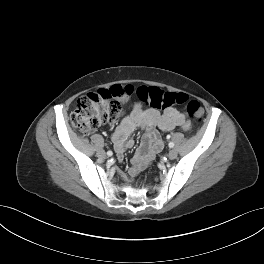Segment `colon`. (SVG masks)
Returning a JSON list of instances; mask_svg holds the SVG:
<instances>
[{"mask_svg": "<svg viewBox=\"0 0 264 264\" xmlns=\"http://www.w3.org/2000/svg\"><path fill=\"white\" fill-rule=\"evenodd\" d=\"M136 93L138 99L154 109H165L187 101L184 93L164 91L154 86L116 85L108 90H98L82 96L71 115V125L87 135L98 127L113 121L121 112V105ZM188 116L194 122H201L204 116L202 105L191 100L186 107Z\"/></svg>", "mask_w": 264, "mask_h": 264, "instance_id": "1", "label": "colon"}]
</instances>
